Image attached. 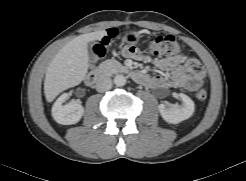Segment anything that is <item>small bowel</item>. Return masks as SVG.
Here are the masks:
<instances>
[{"mask_svg":"<svg viewBox=\"0 0 246 181\" xmlns=\"http://www.w3.org/2000/svg\"><path fill=\"white\" fill-rule=\"evenodd\" d=\"M122 55L136 60H149L135 46L131 45L125 46L122 49ZM194 60L181 53L164 59L154 60V64L162 70L169 71V75L149 77L150 79L145 85L157 88L175 87L194 90L201 85L204 77L203 71L200 75H197L190 69V63Z\"/></svg>","mask_w":246,"mask_h":181,"instance_id":"1","label":"small bowel"}]
</instances>
